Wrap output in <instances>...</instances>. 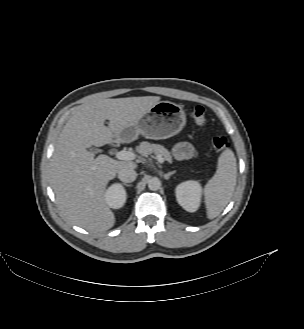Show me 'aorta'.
Instances as JSON below:
<instances>
[{"label": "aorta", "instance_id": "1", "mask_svg": "<svg viewBox=\"0 0 304 329\" xmlns=\"http://www.w3.org/2000/svg\"><path fill=\"white\" fill-rule=\"evenodd\" d=\"M161 182L157 177H152L148 180V188L152 191H156L160 188Z\"/></svg>", "mask_w": 304, "mask_h": 329}]
</instances>
